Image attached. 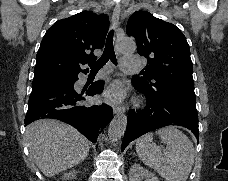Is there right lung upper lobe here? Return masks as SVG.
<instances>
[{
	"mask_svg": "<svg viewBox=\"0 0 228 181\" xmlns=\"http://www.w3.org/2000/svg\"><path fill=\"white\" fill-rule=\"evenodd\" d=\"M109 28L106 15L82 11L57 21L49 28L36 56L33 81L74 76L93 61L95 49L103 48Z\"/></svg>",
	"mask_w": 228,
	"mask_h": 181,
	"instance_id": "cb5924a9",
	"label": "right lung upper lobe"
}]
</instances>
